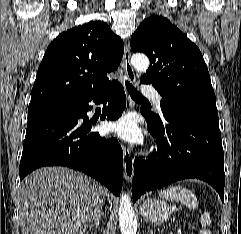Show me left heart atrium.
I'll return each mask as SVG.
<instances>
[{"label":"left heart atrium","mask_w":241,"mask_h":234,"mask_svg":"<svg viewBox=\"0 0 241 234\" xmlns=\"http://www.w3.org/2000/svg\"><path fill=\"white\" fill-rule=\"evenodd\" d=\"M111 130L131 143H139L142 141V133L136 124V120L132 115H125L113 122L110 126Z\"/></svg>","instance_id":"left-heart-atrium-1"}]
</instances>
